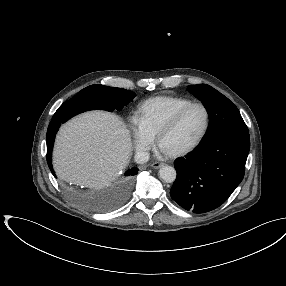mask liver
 Returning a JSON list of instances; mask_svg holds the SVG:
<instances>
[{"label":"liver","instance_id":"6515ba94","mask_svg":"<svg viewBox=\"0 0 286 286\" xmlns=\"http://www.w3.org/2000/svg\"><path fill=\"white\" fill-rule=\"evenodd\" d=\"M129 130L120 118L103 111L72 118L59 130L53 167L59 178L99 189L110 184L130 161Z\"/></svg>","mask_w":286,"mask_h":286}]
</instances>
